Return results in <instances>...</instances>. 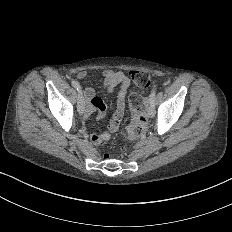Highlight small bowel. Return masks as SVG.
<instances>
[{"label":"small bowel","mask_w":232,"mask_h":232,"mask_svg":"<svg viewBox=\"0 0 232 232\" xmlns=\"http://www.w3.org/2000/svg\"><path fill=\"white\" fill-rule=\"evenodd\" d=\"M76 76L79 80H85L87 78V72L83 69L76 71ZM100 80L104 87H113L118 85L120 87V93L118 98V108L113 117L110 130L116 131L118 127V123L120 122L122 116V109L124 106V97L126 91L130 85L129 77L123 72L118 71L114 72L111 69H104L101 71ZM84 95L88 100V105L85 110V115L90 116L92 114H96L99 118L104 117L106 109L102 100L96 95V91L92 86H87L84 89ZM110 139V135L105 134H94L92 136V142L94 144H101Z\"/></svg>","instance_id":"small-bowel-1"}]
</instances>
